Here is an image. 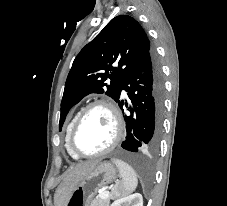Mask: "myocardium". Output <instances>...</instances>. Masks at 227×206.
<instances>
[{"label":"myocardium","mask_w":227,"mask_h":206,"mask_svg":"<svg viewBox=\"0 0 227 206\" xmlns=\"http://www.w3.org/2000/svg\"><path fill=\"white\" fill-rule=\"evenodd\" d=\"M96 107H105L106 109L109 110V112L111 113L113 120H114L115 134H114V137H113L111 143L103 150L96 152V153H91V154L82 153L75 146L76 133H77L84 117L87 115V113ZM123 134H124L123 118H122L121 112H120L119 108L116 106V104L109 99H105V98L96 99V100L92 101L91 103H89L88 105H86L80 111L79 115L77 116V118L73 124V127L70 131V135H69V141H68L69 149L71 150V152L73 154H75L79 158L99 157V156L105 155V154L109 153L110 151H112L120 143L121 139L123 138Z\"/></svg>","instance_id":"obj_1"}]
</instances>
